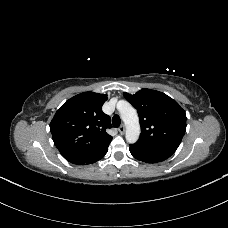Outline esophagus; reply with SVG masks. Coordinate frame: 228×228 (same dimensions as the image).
<instances>
[{"mask_svg": "<svg viewBox=\"0 0 228 228\" xmlns=\"http://www.w3.org/2000/svg\"><path fill=\"white\" fill-rule=\"evenodd\" d=\"M120 134H124L125 132V126L122 124L119 128H118Z\"/></svg>", "mask_w": 228, "mask_h": 228, "instance_id": "1", "label": "esophagus"}]
</instances>
